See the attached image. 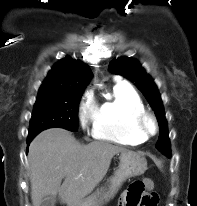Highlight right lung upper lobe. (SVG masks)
Listing matches in <instances>:
<instances>
[{"instance_id": "obj_1", "label": "right lung upper lobe", "mask_w": 197, "mask_h": 206, "mask_svg": "<svg viewBox=\"0 0 197 206\" xmlns=\"http://www.w3.org/2000/svg\"><path fill=\"white\" fill-rule=\"evenodd\" d=\"M91 76L92 72L86 64L65 57L56 63L48 73L39 92H83Z\"/></svg>"}]
</instances>
